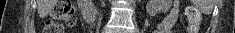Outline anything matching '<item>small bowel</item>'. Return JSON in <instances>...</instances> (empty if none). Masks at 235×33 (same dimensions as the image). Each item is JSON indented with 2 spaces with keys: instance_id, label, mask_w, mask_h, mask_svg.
Listing matches in <instances>:
<instances>
[{
  "instance_id": "1",
  "label": "small bowel",
  "mask_w": 235,
  "mask_h": 33,
  "mask_svg": "<svg viewBox=\"0 0 235 33\" xmlns=\"http://www.w3.org/2000/svg\"><path fill=\"white\" fill-rule=\"evenodd\" d=\"M178 20V8L173 4L169 14L156 26L153 33H174V27Z\"/></svg>"
}]
</instances>
